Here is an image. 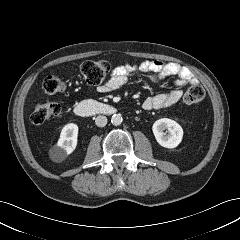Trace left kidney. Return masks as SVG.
<instances>
[{
  "label": "left kidney",
  "instance_id": "5707ae66",
  "mask_svg": "<svg viewBox=\"0 0 240 240\" xmlns=\"http://www.w3.org/2000/svg\"><path fill=\"white\" fill-rule=\"evenodd\" d=\"M168 130V134L164 130ZM152 131L156 141L165 148L177 147L183 138L182 127L174 120L162 118L157 120L153 126Z\"/></svg>",
  "mask_w": 240,
  "mask_h": 240
}]
</instances>
